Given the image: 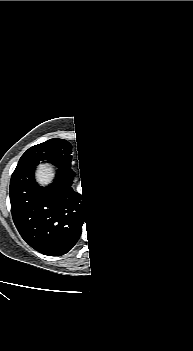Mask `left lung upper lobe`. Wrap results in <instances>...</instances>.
<instances>
[{
  "instance_id": "5c2ea615",
  "label": "left lung upper lobe",
  "mask_w": 193,
  "mask_h": 351,
  "mask_svg": "<svg viewBox=\"0 0 193 351\" xmlns=\"http://www.w3.org/2000/svg\"><path fill=\"white\" fill-rule=\"evenodd\" d=\"M153 161L144 181L156 179L164 174L181 172L179 161L174 152L156 136L149 141Z\"/></svg>"
}]
</instances>
